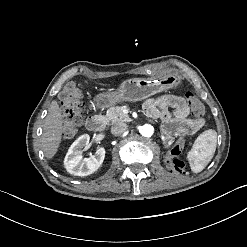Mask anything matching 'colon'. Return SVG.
<instances>
[{"label": "colon", "instance_id": "obj_1", "mask_svg": "<svg viewBox=\"0 0 247 247\" xmlns=\"http://www.w3.org/2000/svg\"><path fill=\"white\" fill-rule=\"evenodd\" d=\"M186 98L190 102L193 108V114L196 117H201L203 115L204 107L199 99L191 92L186 94ZM60 104L62 111V120L64 125V136L66 139H71L75 136L78 127L82 123L83 119V98L79 88L73 84L69 83L60 93ZM186 131L192 130L191 124L185 125ZM177 139L174 146V150L167 161H165V167L174 174L184 175L186 174L185 163L178 159L176 156L180 154L182 141L184 139L183 133L177 134Z\"/></svg>", "mask_w": 247, "mask_h": 247}]
</instances>
